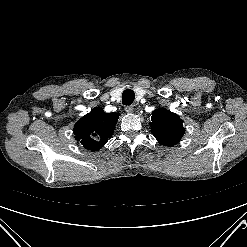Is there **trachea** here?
Segmentation results:
<instances>
[{"mask_svg":"<svg viewBox=\"0 0 247 247\" xmlns=\"http://www.w3.org/2000/svg\"><path fill=\"white\" fill-rule=\"evenodd\" d=\"M135 99V93L131 89H126L122 93V104L131 105Z\"/></svg>","mask_w":247,"mask_h":247,"instance_id":"3493384b","label":"trachea"}]
</instances>
